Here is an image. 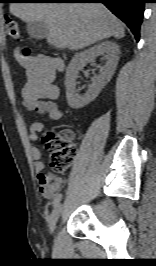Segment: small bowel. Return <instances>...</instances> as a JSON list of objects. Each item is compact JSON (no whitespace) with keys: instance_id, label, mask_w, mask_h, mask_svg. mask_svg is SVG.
Segmentation results:
<instances>
[{"instance_id":"obj_1","label":"small bowel","mask_w":156,"mask_h":266,"mask_svg":"<svg viewBox=\"0 0 156 266\" xmlns=\"http://www.w3.org/2000/svg\"><path fill=\"white\" fill-rule=\"evenodd\" d=\"M15 57L26 72L27 82L22 91L24 107L29 111L45 114L51 120H61L63 113L57 103L60 91L58 85L54 83L57 62L44 55L25 58L18 50L15 51ZM47 132L44 123L33 122L29 138L40 192L45 199L51 200L60 189L63 180L44 171L45 165L41 160L37 141L40 133Z\"/></svg>"}]
</instances>
